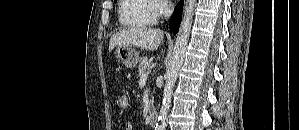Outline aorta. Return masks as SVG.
I'll use <instances>...</instances> for the list:
<instances>
[{"instance_id":"obj_1","label":"aorta","mask_w":299,"mask_h":130,"mask_svg":"<svg viewBox=\"0 0 299 130\" xmlns=\"http://www.w3.org/2000/svg\"><path fill=\"white\" fill-rule=\"evenodd\" d=\"M195 0H187L184 7L182 22L180 24L179 33L175 42L173 53L166 69L165 86L163 92V101L156 123L155 130H165L168 110L171 104V97L178 72L183 64L186 47L192 26V16L194 11Z\"/></svg>"}]
</instances>
